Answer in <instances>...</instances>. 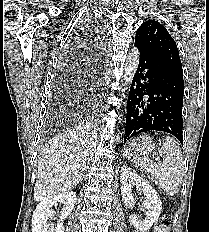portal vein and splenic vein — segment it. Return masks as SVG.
I'll list each match as a JSON object with an SVG mask.
<instances>
[{
  "label": "portal vein and splenic vein",
  "mask_w": 209,
  "mask_h": 232,
  "mask_svg": "<svg viewBox=\"0 0 209 232\" xmlns=\"http://www.w3.org/2000/svg\"><path fill=\"white\" fill-rule=\"evenodd\" d=\"M155 160H156V161H159V160H160V158H159V157H156V158H155Z\"/></svg>",
  "instance_id": "18ae733b"
}]
</instances>
